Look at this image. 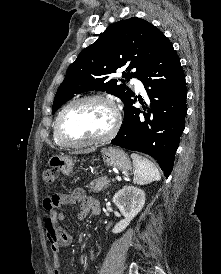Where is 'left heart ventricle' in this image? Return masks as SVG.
Returning a JSON list of instances; mask_svg holds the SVG:
<instances>
[{
    "mask_svg": "<svg viewBox=\"0 0 221 274\" xmlns=\"http://www.w3.org/2000/svg\"><path fill=\"white\" fill-rule=\"evenodd\" d=\"M113 123L109 106L85 102L72 107L63 119V132L72 140H86L104 135Z\"/></svg>",
    "mask_w": 221,
    "mask_h": 274,
    "instance_id": "left-heart-ventricle-1",
    "label": "left heart ventricle"
}]
</instances>
